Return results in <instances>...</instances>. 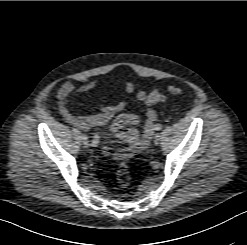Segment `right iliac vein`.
<instances>
[{"instance_id": "63e3f726", "label": "right iliac vein", "mask_w": 247, "mask_h": 245, "mask_svg": "<svg viewBox=\"0 0 247 245\" xmlns=\"http://www.w3.org/2000/svg\"><path fill=\"white\" fill-rule=\"evenodd\" d=\"M82 142L86 147L89 146L88 137L86 135H82Z\"/></svg>"}]
</instances>
